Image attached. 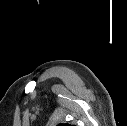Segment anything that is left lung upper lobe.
I'll use <instances>...</instances> for the list:
<instances>
[{
  "mask_svg": "<svg viewBox=\"0 0 127 126\" xmlns=\"http://www.w3.org/2000/svg\"><path fill=\"white\" fill-rule=\"evenodd\" d=\"M58 126H70L69 124H59Z\"/></svg>",
  "mask_w": 127,
  "mask_h": 126,
  "instance_id": "obj_1",
  "label": "left lung upper lobe"
}]
</instances>
